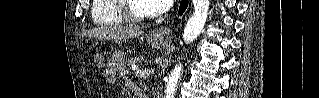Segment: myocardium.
Here are the masks:
<instances>
[{"mask_svg": "<svg viewBox=\"0 0 319 98\" xmlns=\"http://www.w3.org/2000/svg\"><path fill=\"white\" fill-rule=\"evenodd\" d=\"M116 9L123 21L127 23H141L149 19V14L135 15L129 10V0H116Z\"/></svg>", "mask_w": 319, "mask_h": 98, "instance_id": "obj_1", "label": "myocardium"}]
</instances>
